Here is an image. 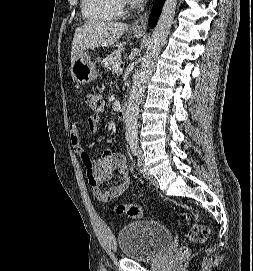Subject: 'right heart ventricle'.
I'll return each mask as SVG.
<instances>
[{
	"mask_svg": "<svg viewBox=\"0 0 253 271\" xmlns=\"http://www.w3.org/2000/svg\"><path fill=\"white\" fill-rule=\"evenodd\" d=\"M123 6L121 0H81L82 14L92 23L109 22L120 18Z\"/></svg>",
	"mask_w": 253,
	"mask_h": 271,
	"instance_id": "1",
	"label": "right heart ventricle"
}]
</instances>
